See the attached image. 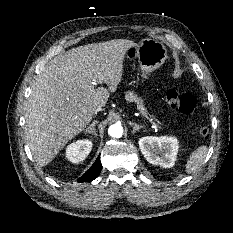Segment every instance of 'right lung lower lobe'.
<instances>
[{
  "label": "right lung lower lobe",
  "instance_id": "obj_1",
  "mask_svg": "<svg viewBox=\"0 0 233 233\" xmlns=\"http://www.w3.org/2000/svg\"><path fill=\"white\" fill-rule=\"evenodd\" d=\"M101 171L100 157H98L92 167L78 179V182L92 181L98 177Z\"/></svg>",
  "mask_w": 233,
  "mask_h": 233
}]
</instances>
